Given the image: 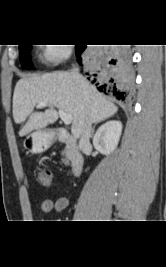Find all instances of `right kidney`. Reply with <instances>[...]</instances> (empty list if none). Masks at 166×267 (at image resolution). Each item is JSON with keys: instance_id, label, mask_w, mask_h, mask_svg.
Returning <instances> with one entry per match:
<instances>
[{"instance_id": "1", "label": "right kidney", "mask_w": 166, "mask_h": 267, "mask_svg": "<svg viewBox=\"0 0 166 267\" xmlns=\"http://www.w3.org/2000/svg\"><path fill=\"white\" fill-rule=\"evenodd\" d=\"M122 132L120 121L112 120L103 124L93 138L94 147L105 155L111 154L117 147Z\"/></svg>"}]
</instances>
